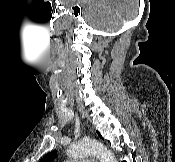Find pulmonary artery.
<instances>
[{"instance_id":"e3ab8cb5","label":"pulmonary artery","mask_w":175,"mask_h":162,"mask_svg":"<svg viewBox=\"0 0 175 162\" xmlns=\"http://www.w3.org/2000/svg\"><path fill=\"white\" fill-rule=\"evenodd\" d=\"M69 162H92V160L77 159V160H71Z\"/></svg>"}]
</instances>
